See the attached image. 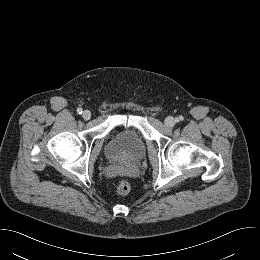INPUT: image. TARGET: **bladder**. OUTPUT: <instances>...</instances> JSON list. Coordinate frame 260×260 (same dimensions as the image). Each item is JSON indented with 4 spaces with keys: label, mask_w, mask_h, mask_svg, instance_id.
Instances as JSON below:
<instances>
[{
    "label": "bladder",
    "mask_w": 260,
    "mask_h": 260,
    "mask_svg": "<svg viewBox=\"0 0 260 260\" xmlns=\"http://www.w3.org/2000/svg\"><path fill=\"white\" fill-rule=\"evenodd\" d=\"M145 151V141L136 129H128L112 137L106 147L105 153L109 160L136 159Z\"/></svg>",
    "instance_id": "obj_1"
}]
</instances>
